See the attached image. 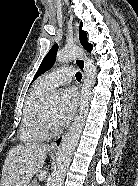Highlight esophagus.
I'll list each match as a JSON object with an SVG mask.
<instances>
[{"label": "esophagus", "instance_id": "obj_1", "mask_svg": "<svg viewBox=\"0 0 138 186\" xmlns=\"http://www.w3.org/2000/svg\"><path fill=\"white\" fill-rule=\"evenodd\" d=\"M74 39L76 42H78V33H77V29L75 28V32H74ZM75 63L77 64V66L83 71V74L85 73V59L84 58H79L75 61ZM64 140V135L62 136H58L57 138L54 139V141L51 143V148L52 149H57L60 148V146L62 145Z\"/></svg>", "mask_w": 138, "mask_h": 186}]
</instances>
